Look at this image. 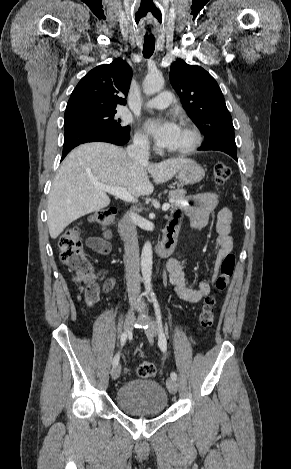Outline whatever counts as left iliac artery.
<instances>
[{
    "label": "left iliac artery",
    "instance_id": "obj_1",
    "mask_svg": "<svg viewBox=\"0 0 291 469\" xmlns=\"http://www.w3.org/2000/svg\"><path fill=\"white\" fill-rule=\"evenodd\" d=\"M151 300L153 302L154 310H155V315H156V320L157 324L159 327V340H158V345L160 349L165 352L167 349V340L165 337V334L163 332V325H162V317H161V311H160V306L157 301V298L154 294H151ZM171 378L176 380L177 379V374L175 372L171 373Z\"/></svg>",
    "mask_w": 291,
    "mask_h": 469
}]
</instances>
